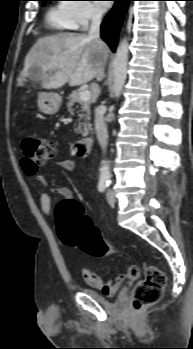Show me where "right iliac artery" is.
<instances>
[{
    "label": "right iliac artery",
    "mask_w": 193,
    "mask_h": 349,
    "mask_svg": "<svg viewBox=\"0 0 193 349\" xmlns=\"http://www.w3.org/2000/svg\"><path fill=\"white\" fill-rule=\"evenodd\" d=\"M108 183H106V182H101V183H99V185H98V190L100 191V192H104L105 191V189L108 187Z\"/></svg>",
    "instance_id": "obj_1"
}]
</instances>
